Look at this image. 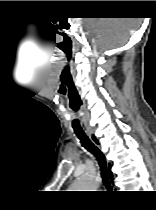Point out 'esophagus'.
<instances>
[{
    "instance_id": "obj_1",
    "label": "esophagus",
    "mask_w": 156,
    "mask_h": 210,
    "mask_svg": "<svg viewBox=\"0 0 156 210\" xmlns=\"http://www.w3.org/2000/svg\"><path fill=\"white\" fill-rule=\"evenodd\" d=\"M89 136H90V139H91V141L93 142V144L97 147V148H100V142H99V139L97 138V136L94 134V133H92V132H90L89 133ZM107 161V165L109 164V161L108 160H106ZM113 180H114V177L113 178H111V186L113 187Z\"/></svg>"
}]
</instances>
